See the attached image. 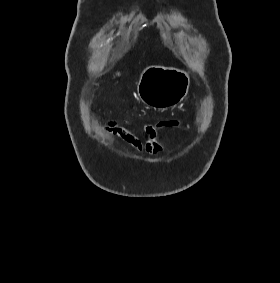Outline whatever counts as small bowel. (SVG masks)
<instances>
[{"instance_id": "small-bowel-1", "label": "small bowel", "mask_w": 280, "mask_h": 283, "mask_svg": "<svg viewBox=\"0 0 280 283\" xmlns=\"http://www.w3.org/2000/svg\"><path fill=\"white\" fill-rule=\"evenodd\" d=\"M182 122L177 119L163 120L157 124L146 127V139L143 141L125 125L118 122H110L104 128L105 133L121 138L131 145L139 153L158 155L162 152V146L158 141V132L162 128H180Z\"/></svg>"}]
</instances>
